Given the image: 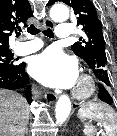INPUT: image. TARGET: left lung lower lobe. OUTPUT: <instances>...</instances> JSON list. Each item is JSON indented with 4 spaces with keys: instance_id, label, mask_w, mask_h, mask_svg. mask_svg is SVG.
<instances>
[{
    "instance_id": "left-lung-lower-lobe-1",
    "label": "left lung lower lobe",
    "mask_w": 117,
    "mask_h": 136,
    "mask_svg": "<svg viewBox=\"0 0 117 136\" xmlns=\"http://www.w3.org/2000/svg\"><path fill=\"white\" fill-rule=\"evenodd\" d=\"M98 98L108 104H112L113 102V99L111 97V94H110V91H109V88L106 87L105 85L103 84H100L99 85V96ZM75 107V105H74Z\"/></svg>"
}]
</instances>
